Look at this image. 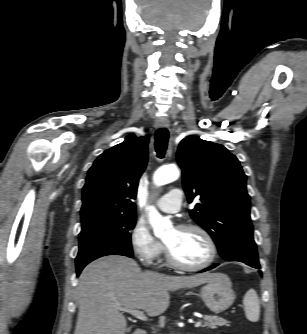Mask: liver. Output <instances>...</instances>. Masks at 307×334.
Wrapping results in <instances>:
<instances>
[{
	"instance_id": "liver-1",
	"label": "liver",
	"mask_w": 307,
	"mask_h": 334,
	"mask_svg": "<svg viewBox=\"0 0 307 334\" xmlns=\"http://www.w3.org/2000/svg\"><path fill=\"white\" fill-rule=\"evenodd\" d=\"M212 279L213 273L179 277L142 271L135 260L125 256L99 258L88 264L79 277L74 334H125L127 322L119 308L141 309L155 317L169 307V291Z\"/></svg>"
}]
</instances>
